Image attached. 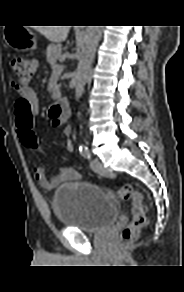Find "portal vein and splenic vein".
I'll use <instances>...</instances> for the list:
<instances>
[{
  "label": "portal vein and splenic vein",
  "instance_id": "1",
  "mask_svg": "<svg viewBox=\"0 0 184 292\" xmlns=\"http://www.w3.org/2000/svg\"><path fill=\"white\" fill-rule=\"evenodd\" d=\"M54 70L57 72H61L63 70V67L61 65H57L54 67Z\"/></svg>",
  "mask_w": 184,
  "mask_h": 292
}]
</instances>
